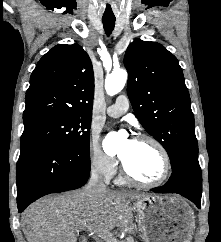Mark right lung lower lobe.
<instances>
[{
	"label": "right lung lower lobe",
	"instance_id": "obj_1",
	"mask_svg": "<svg viewBox=\"0 0 221 242\" xmlns=\"http://www.w3.org/2000/svg\"><path fill=\"white\" fill-rule=\"evenodd\" d=\"M89 174V151L47 139L21 140L16 166L19 212L44 195L82 187Z\"/></svg>",
	"mask_w": 221,
	"mask_h": 242
}]
</instances>
